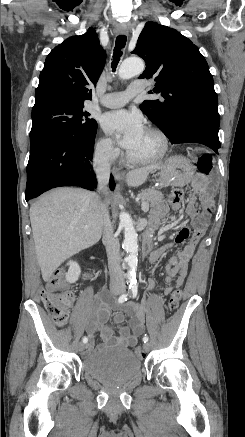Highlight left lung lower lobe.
<instances>
[{"mask_svg":"<svg viewBox=\"0 0 245 437\" xmlns=\"http://www.w3.org/2000/svg\"><path fill=\"white\" fill-rule=\"evenodd\" d=\"M218 131L219 123L198 116H189L185 119L180 131L170 141L172 144H204L219 154L218 149L221 145L218 138Z\"/></svg>","mask_w":245,"mask_h":437,"instance_id":"obj_1","label":"left lung lower lobe"}]
</instances>
